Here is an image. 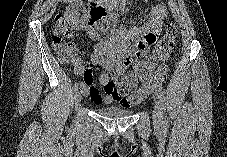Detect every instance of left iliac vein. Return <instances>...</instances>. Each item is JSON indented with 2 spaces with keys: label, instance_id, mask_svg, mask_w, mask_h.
<instances>
[{
  "label": "left iliac vein",
  "instance_id": "obj_1",
  "mask_svg": "<svg viewBox=\"0 0 227 157\" xmlns=\"http://www.w3.org/2000/svg\"><path fill=\"white\" fill-rule=\"evenodd\" d=\"M153 119L156 123H159L162 119V110L160 102L156 101L153 109Z\"/></svg>",
  "mask_w": 227,
  "mask_h": 157
}]
</instances>
